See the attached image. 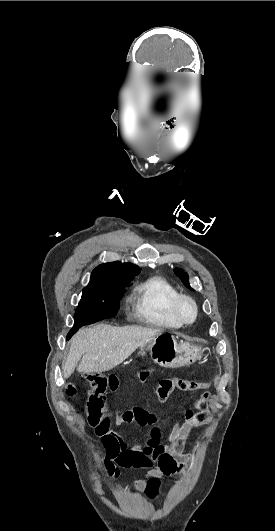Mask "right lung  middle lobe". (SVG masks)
Wrapping results in <instances>:
<instances>
[{"label":"right lung middle lobe","mask_w":275,"mask_h":531,"mask_svg":"<svg viewBox=\"0 0 275 531\" xmlns=\"http://www.w3.org/2000/svg\"><path fill=\"white\" fill-rule=\"evenodd\" d=\"M127 282L89 283L83 289L76 309L74 326L67 335L69 339L81 326L114 317Z\"/></svg>","instance_id":"obj_1"}]
</instances>
